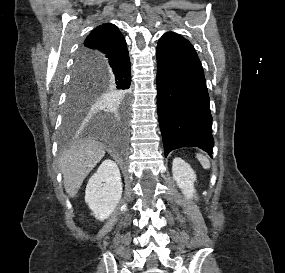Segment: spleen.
<instances>
[{"label":"spleen","instance_id":"obj_1","mask_svg":"<svg viewBox=\"0 0 285 273\" xmlns=\"http://www.w3.org/2000/svg\"><path fill=\"white\" fill-rule=\"evenodd\" d=\"M196 157L204 169L210 168V161L208 160L206 156H204L203 154H197Z\"/></svg>","mask_w":285,"mask_h":273}]
</instances>
